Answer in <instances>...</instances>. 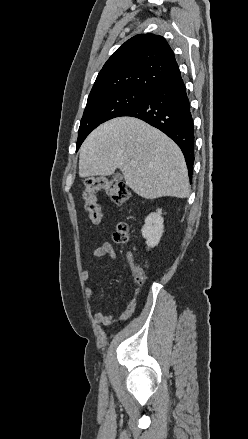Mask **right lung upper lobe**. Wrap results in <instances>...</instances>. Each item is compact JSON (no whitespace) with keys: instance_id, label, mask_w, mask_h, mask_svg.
Listing matches in <instances>:
<instances>
[{"instance_id":"obj_1","label":"right lung upper lobe","mask_w":248,"mask_h":439,"mask_svg":"<svg viewBox=\"0 0 248 439\" xmlns=\"http://www.w3.org/2000/svg\"><path fill=\"white\" fill-rule=\"evenodd\" d=\"M178 76V64L165 38L154 34L136 35L105 63L88 100L120 90L149 94Z\"/></svg>"}]
</instances>
